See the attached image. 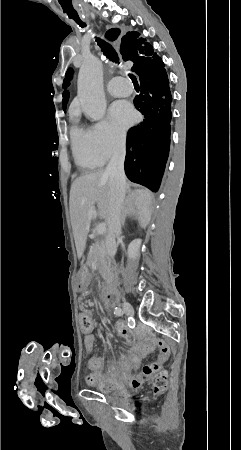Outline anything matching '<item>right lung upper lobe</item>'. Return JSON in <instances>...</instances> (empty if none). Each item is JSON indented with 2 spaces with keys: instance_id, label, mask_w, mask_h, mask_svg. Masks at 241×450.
I'll return each mask as SVG.
<instances>
[{
  "instance_id": "right-lung-upper-lobe-1",
  "label": "right lung upper lobe",
  "mask_w": 241,
  "mask_h": 450,
  "mask_svg": "<svg viewBox=\"0 0 241 450\" xmlns=\"http://www.w3.org/2000/svg\"><path fill=\"white\" fill-rule=\"evenodd\" d=\"M118 29H111L106 36L110 40H115L119 34ZM139 33L133 31L128 32L121 38L120 53L124 61L133 62L132 71L137 72L139 68L149 63H156L161 60L154 52L152 45L146 42L145 39H138ZM73 70L68 69L66 79L68 81L72 78Z\"/></svg>"
}]
</instances>
